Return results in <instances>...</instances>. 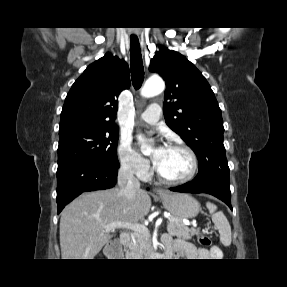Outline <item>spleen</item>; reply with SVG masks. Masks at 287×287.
<instances>
[{"mask_svg":"<svg viewBox=\"0 0 287 287\" xmlns=\"http://www.w3.org/2000/svg\"><path fill=\"white\" fill-rule=\"evenodd\" d=\"M206 206L211 214L212 221L220 234V241L224 246H230L231 238V226L223 214V212H216L217 206L211 202H207Z\"/></svg>","mask_w":287,"mask_h":287,"instance_id":"obj_1","label":"spleen"}]
</instances>
